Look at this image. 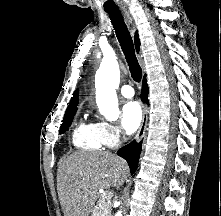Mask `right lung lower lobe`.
Masks as SVG:
<instances>
[{"label":"right lung lower lobe","instance_id":"obj_1","mask_svg":"<svg viewBox=\"0 0 221 216\" xmlns=\"http://www.w3.org/2000/svg\"><path fill=\"white\" fill-rule=\"evenodd\" d=\"M148 86L146 84V79L144 78L143 81V86H142V91H141V98L142 101L148 103ZM141 147H142V142H135L132 141L130 144L126 145L125 147L121 148L118 150L117 154L124 158L130 167V172L133 174L135 170L137 169L138 165V160L141 154Z\"/></svg>","mask_w":221,"mask_h":216}]
</instances>
